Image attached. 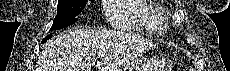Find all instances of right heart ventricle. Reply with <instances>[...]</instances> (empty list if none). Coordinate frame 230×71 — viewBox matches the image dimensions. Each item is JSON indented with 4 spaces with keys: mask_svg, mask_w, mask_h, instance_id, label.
I'll return each mask as SVG.
<instances>
[{
    "mask_svg": "<svg viewBox=\"0 0 230 71\" xmlns=\"http://www.w3.org/2000/svg\"><path fill=\"white\" fill-rule=\"evenodd\" d=\"M108 19L119 30L159 33L164 30V9L145 0L108 3Z\"/></svg>",
    "mask_w": 230,
    "mask_h": 71,
    "instance_id": "right-heart-ventricle-1",
    "label": "right heart ventricle"
}]
</instances>
